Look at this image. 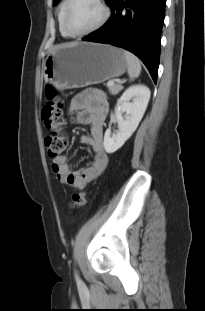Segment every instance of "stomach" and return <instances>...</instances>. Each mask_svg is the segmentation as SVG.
I'll list each match as a JSON object with an SVG mask.
<instances>
[{"label": "stomach", "mask_w": 205, "mask_h": 311, "mask_svg": "<svg viewBox=\"0 0 205 311\" xmlns=\"http://www.w3.org/2000/svg\"><path fill=\"white\" fill-rule=\"evenodd\" d=\"M127 67L123 49L78 42L54 48L44 61L43 74L59 91L102 83L121 76Z\"/></svg>", "instance_id": "stomach-1"}]
</instances>
